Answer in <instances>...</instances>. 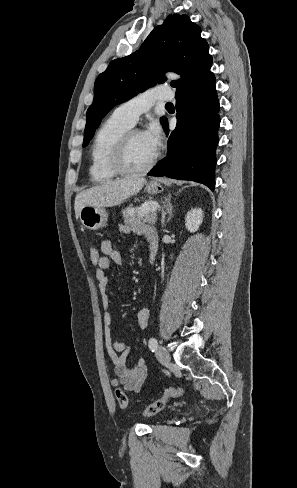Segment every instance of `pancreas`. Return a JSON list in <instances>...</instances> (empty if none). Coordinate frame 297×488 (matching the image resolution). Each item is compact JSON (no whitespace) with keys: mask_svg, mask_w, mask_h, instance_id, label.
I'll return each mask as SVG.
<instances>
[{"mask_svg":"<svg viewBox=\"0 0 297 488\" xmlns=\"http://www.w3.org/2000/svg\"><path fill=\"white\" fill-rule=\"evenodd\" d=\"M156 203L149 201L148 204ZM124 223L129 225H137L142 222L155 223L156 214L154 211H142V206L133 207L132 205L123 210Z\"/></svg>","mask_w":297,"mask_h":488,"instance_id":"1","label":"pancreas"}]
</instances>
